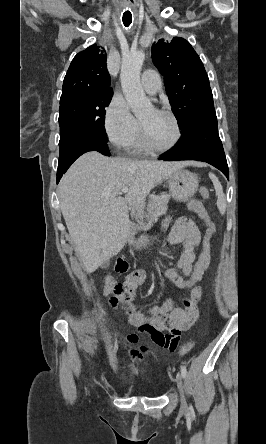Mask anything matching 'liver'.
<instances>
[{"instance_id":"obj_1","label":"liver","mask_w":266,"mask_h":444,"mask_svg":"<svg viewBox=\"0 0 266 444\" xmlns=\"http://www.w3.org/2000/svg\"><path fill=\"white\" fill-rule=\"evenodd\" d=\"M198 162L108 158L96 151L79 157L59 183L60 209L88 273L116 256L130 237L129 207L143 213L147 194L165 178ZM129 188L125 198L121 189Z\"/></svg>"}]
</instances>
